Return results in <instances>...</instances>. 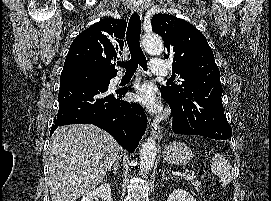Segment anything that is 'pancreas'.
I'll list each match as a JSON object with an SVG mask.
<instances>
[{"mask_svg":"<svg viewBox=\"0 0 271 201\" xmlns=\"http://www.w3.org/2000/svg\"><path fill=\"white\" fill-rule=\"evenodd\" d=\"M192 185L195 188L196 191L200 190L201 183L199 181H192Z\"/></svg>","mask_w":271,"mask_h":201,"instance_id":"pancreas-1","label":"pancreas"}]
</instances>
